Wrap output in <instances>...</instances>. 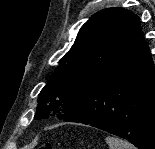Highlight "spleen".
<instances>
[{
    "mask_svg": "<svg viewBox=\"0 0 155 149\" xmlns=\"http://www.w3.org/2000/svg\"><path fill=\"white\" fill-rule=\"evenodd\" d=\"M105 141L108 144L109 149H137L128 141L122 140L117 137L108 136L105 138Z\"/></svg>",
    "mask_w": 155,
    "mask_h": 149,
    "instance_id": "1",
    "label": "spleen"
}]
</instances>
